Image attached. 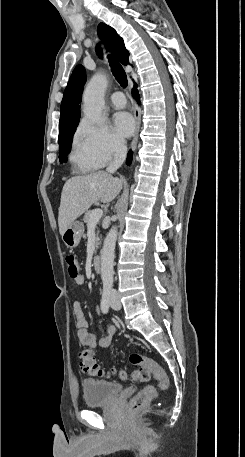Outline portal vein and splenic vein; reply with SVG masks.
Masks as SVG:
<instances>
[{
	"instance_id": "portal-vein-and-splenic-vein-1",
	"label": "portal vein and splenic vein",
	"mask_w": 245,
	"mask_h": 457,
	"mask_svg": "<svg viewBox=\"0 0 245 457\" xmlns=\"http://www.w3.org/2000/svg\"><path fill=\"white\" fill-rule=\"evenodd\" d=\"M103 214V210L102 208H95V210H93L92 214H90V222H97V220H99V218H101Z\"/></svg>"
}]
</instances>
